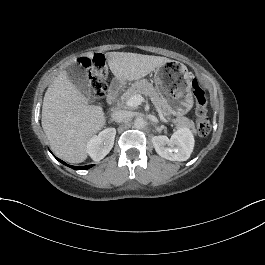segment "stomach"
<instances>
[{
    "instance_id": "obj_1",
    "label": "stomach",
    "mask_w": 265,
    "mask_h": 265,
    "mask_svg": "<svg viewBox=\"0 0 265 265\" xmlns=\"http://www.w3.org/2000/svg\"><path fill=\"white\" fill-rule=\"evenodd\" d=\"M154 83L157 92L162 95L171 108V114H187L194 104L191 74L187 67L170 60L154 71Z\"/></svg>"
}]
</instances>
